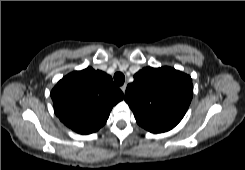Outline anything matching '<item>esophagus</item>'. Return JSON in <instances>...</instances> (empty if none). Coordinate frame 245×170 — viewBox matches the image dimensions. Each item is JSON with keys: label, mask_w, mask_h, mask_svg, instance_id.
Returning a JSON list of instances; mask_svg holds the SVG:
<instances>
[{"label": "esophagus", "mask_w": 245, "mask_h": 170, "mask_svg": "<svg viewBox=\"0 0 245 170\" xmlns=\"http://www.w3.org/2000/svg\"><path fill=\"white\" fill-rule=\"evenodd\" d=\"M126 87H127V85H126V84H124L123 86H121V90H122L123 94H125Z\"/></svg>", "instance_id": "1"}]
</instances>
